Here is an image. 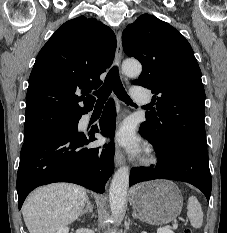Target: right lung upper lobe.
Returning <instances> with one entry per match:
<instances>
[{
  "label": "right lung upper lobe",
  "instance_id": "right-lung-upper-lobe-1",
  "mask_svg": "<svg viewBox=\"0 0 227 233\" xmlns=\"http://www.w3.org/2000/svg\"><path fill=\"white\" fill-rule=\"evenodd\" d=\"M114 32L94 18L64 23L38 53L29 77L24 136L51 131L93 108L89 93L114 59Z\"/></svg>",
  "mask_w": 227,
  "mask_h": 233
}]
</instances>
